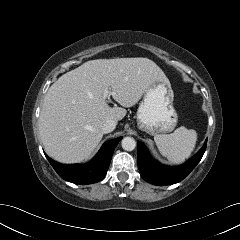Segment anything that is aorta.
I'll return each instance as SVG.
<instances>
[{
    "instance_id": "aorta-1",
    "label": "aorta",
    "mask_w": 240,
    "mask_h": 240,
    "mask_svg": "<svg viewBox=\"0 0 240 240\" xmlns=\"http://www.w3.org/2000/svg\"><path fill=\"white\" fill-rule=\"evenodd\" d=\"M121 145L125 151H133L136 147V141L132 137H125L122 139Z\"/></svg>"
}]
</instances>
